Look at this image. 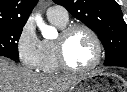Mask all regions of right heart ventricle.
Wrapping results in <instances>:
<instances>
[{"label": "right heart ventricle", "instance_id": "right-heart-ventricle-1", "mask_svg": "<svg viewBox=\"0 0 127 92\" xmlns=\"http://www.w3.org/2000/svg\"><path fill=\"white\" fill-rule=\"evenodd\" d=\"M48 19L52 25L59 29H63L67 26L68 20H62L56 17H49ZM42 44V61L39 70L47 74H55L61 71L58 65L54 42L49 39H44L41 41Z\"/></svg>", "mask_w": 127, "mask_h": 92}]
</instances>
